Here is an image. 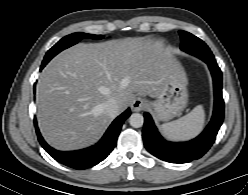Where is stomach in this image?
<instances>
[{"label":"stomach","mask_w":248,"mask_h":195,"mask_svg":"<svg viewBox=\"0 0 248 195\" xmlns=\"http://www.w3.org/2000/svg\"><path fill=\"white\" fill-rule=\"evenodd\" d=\"M187 79L183 70L178 69L165 82L156 100L150 103L158 121H168L186 108L188 104Z\"/></svg>","instance_id":"1"}]
</instances>
